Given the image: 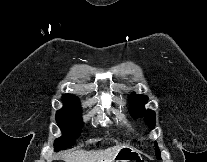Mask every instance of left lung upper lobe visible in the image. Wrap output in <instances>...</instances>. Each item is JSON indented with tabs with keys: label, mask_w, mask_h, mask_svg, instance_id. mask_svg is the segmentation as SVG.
Masks as SVG:
<instances>
[{
	"label": "left lung upper lobe",
	"mask_w": 207,
	"mask_h": 162,
	"mask_svg": "<svg viewBox=\"0 0 207 162\" xmlns=\"http://www.w3.org/2000/svg\"><path fill=\"white\" fill-rule=\"evenodd\" d=\"M148 98L145 95L132 94L130 96V115L133 118H144V121L150 129L155 126V113L151 110H145L144 104L147 102ZM156 145V144H155ZM157 158L160 160V152L158 146L155 149Z\"/></svg>",
	"instance_id": "5c2ea615"
}]
</instances>
